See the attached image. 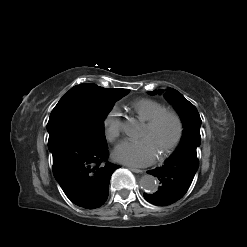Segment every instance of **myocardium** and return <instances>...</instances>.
<instances>
[{"label":"myocardium","mask_w":247,"mask_h":247,"mask_svg":"<svg viewBox=\"0 0 247 247\" xmlns=\"http://www.w3.org/2000/svg\"><path fill=\"white\" fill-rule=\"evenodd\" d=\"M166 118H170L174 121L175 132L169 143L166 144L159 152L160 157H164L169 153H171L180 143L184 132V125L182 118L176 111L170 109H164L159 113H157L155 116H153L151 119L146 121L145 123V126L148 129L153 130L156 127H158L159 124Z\"/></svg>","instance_id":"f54148a6"}]
</instances>
